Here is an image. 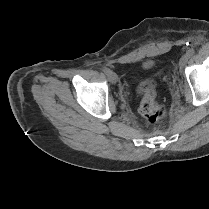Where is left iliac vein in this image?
<instances>
[{
  "label": "left iliac vein",
  "mask_w": 209,
  "mask_h": 209,
  "mask_svg": "<svg viewBox=\"0 0 209 209\" xmlns=\"http://www.w3.org/2000/svg\"><path fill=\"white\" fill-rule=\"evenodd\" d=\"M189 56L187 54L183 55L179 61L180 67H184L188 62Z\"/></svg>",
  "instance_id": "1"
}]
</instances>
